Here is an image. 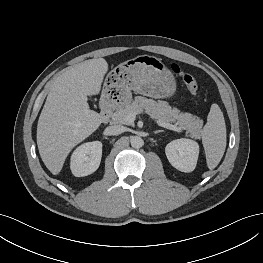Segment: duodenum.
Instances as JSON below:
<instances>
[{"instance_id": "1", "label": "duodenum", "mask_w": 263, "mask_h": 263, "mask_svg": "<svg viewBox=\"0 0 263 263\" xmlns=\"http://www.w3.org/2000/svg\"><path fill=\"white\" fill-rule=\"evenodd\" d=\"M118 101L117 98L113 100V103ZM101 119L103 122H107L112 115V107L109 104H104L100 109Z\"/></svg>"}]
</instances>
